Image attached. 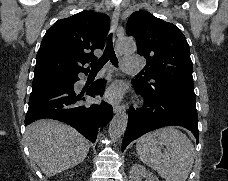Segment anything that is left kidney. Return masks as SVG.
<instances>
[{"label": "left kidney", "mask_w": 228, "mask_h": 181, "mask_svg": "<svg viewBox=\"0 0 228 181\" xmlns=\"http://www.w3.org/2000/svg\"><path fill=\"white\" fill-rule=\"evenodd\" d=\"M129 179L130 181H143V179H145V181H158L153 173L147 171L142 165H137V163L132 165L129 171Z\"/></svg>", "instance_id": "5707ae66"}]
</instances>
